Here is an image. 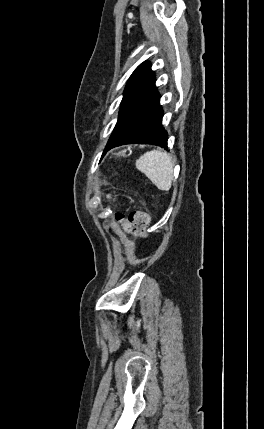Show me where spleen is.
<instances>
[{
    "label": "spleen",
    "instance_id": "obj_1",
    "mask_svg": "<svg viewBox=\"0 0 264 429\" xmlns=\"http://www.w3.org/2000/svg\"><path fill=\"white\" fill-rule=\"evenodd\" d=\"M136 168L162 191H169L173 181L174 162L167 152L152 150L136 161Z\"/></svg>",
    "mask_w": 264,
    "mask_h": 429
}]
</instances>
